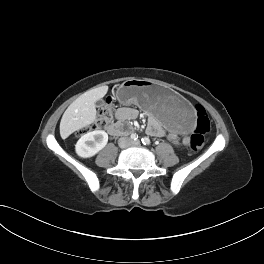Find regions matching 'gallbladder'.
<instances>
[{
	"instance_id": "1",
	"label": "gallbladder",
	"mask_w": 264,
	"mask_h": 264,
	"mask_svg": "<svg viewBox=\"0 0 264 264\" xmlns=\"http://www.w3.org/2000/svg\"><path fill=\"white\" fill-rule=\"evenodd\" d=\"M104 104V101L102 100V99H99V100H97L96 102H95V105L97 106V107H100V106H102Z\"/></svg>"
}]
</instances>
